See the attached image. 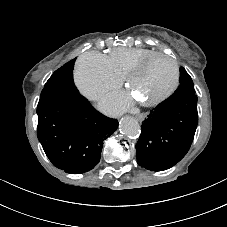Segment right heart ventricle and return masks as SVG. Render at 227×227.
Segmentation results:
<instances>
[{
    "mask_svg": "<svg viewBox=\"0 0 227 227\" xmlns=\"http://www.w3.org/2000/svg\"><path fill=\"white\" fill-rule=\"evenodd\" d=\"M157 51L148 48L119 47L109 52L107 58L112 69L122 78L144 57Z\"/></svg>",
    "mask_w": 227,
    "mask_h": 227,
    "instance_id": "1",
    "label": "right heart ventricle"
}]
</instances>
